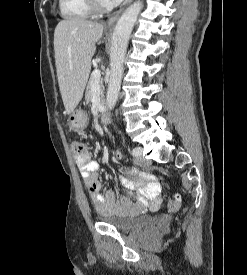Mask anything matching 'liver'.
I'll use <instances>...</instances> for the list:
<instances>
[{"mask_svg": "<svg viewBox=\"0 0 247 275\" xmlns=\"http://www.w3.org/2000/svg\"><path fill=\"white\" fill-rule=\"evenodd\" d=\"M103 24L81 18L60 21L54 31L55 64L60 93L70 115L81 101L86 87L96 42Z\"/></svg>", "mask_w": 247, "mask_h": 275, "instance_id": "obj_1", "label": "liver"}]
</instances>
